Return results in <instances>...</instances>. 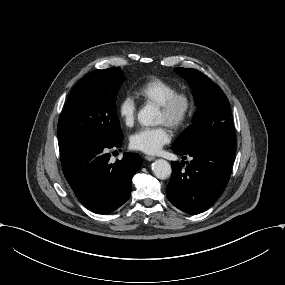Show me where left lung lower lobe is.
I'll return each instance as SVG.
<instances>
[{"label": "left lung lower lobe", "instance_id": "0a47b994", "mask_svg": "<svg viewBox=\"0 0 285 285\" xmlns=\"http://www.w3.org/2000/svg\"><path fill=\"white\" fill-rule=\"evenodd\" d=\"M234 153L235 138L216 139L186 154L177 153L189 155L193 160L185 170H182L185 161L182 164L172 162V176L167 185L169 201L190 214L207 210L217 201L229 181Z\"/></svg>", "mask_w": 285, "mask_h": 285}]
</instances>
